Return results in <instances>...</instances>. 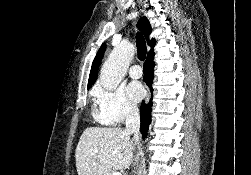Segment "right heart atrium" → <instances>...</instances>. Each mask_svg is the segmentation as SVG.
I'll list each match as a JSON object with an SVG mask.
<instances>
[{
  "label": "right heart atrium",
  "mask_w": 251,
  "mask_h": 175,
  "mask_svg": "<svg viewBox=\"0 0 251 175\" xmlns=\"http://www.w3.org/2000/svg\"><path fill=\"white\" fill-rule=\"evenodd\" d=\"M94 100L99 108V117L107 124H120L138 114V107L127 98L122 87L106 89L99 84Z\"/></svg>",
  "instance_id": "obj_1"
}]
</instances>
